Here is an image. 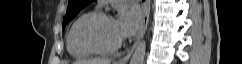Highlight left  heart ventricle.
I'll list each match as a JSON object with an SVG mask.
<instances>
[{
	"label": "left heart ventricle",
	"mask_w": 242,
	"mask_h": 64,
	"mask_svg": "<svg viewBox=\"0 0 242 64\" xmlns=\"http://www.w3.org/2000/svg\"><path fill=\"white\" fill-rule=\"evenodd\" d=\"M87 39L100 46H112L121 40L114 27L113 19L102 20L85 31Z\"/></svg>",
	"instance_id": "b2bd125f"
}]
</instances>
